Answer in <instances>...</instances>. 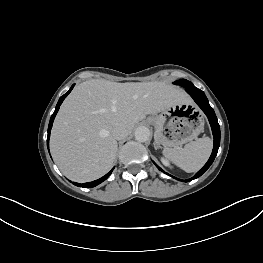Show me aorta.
I'll use <instances>...</instances> for the list:
<instances>
[{"instance_id":"762f6f07","label":"aorta","mask_w":263,"mask_h":263,"mask_svg":"<svg viewBox=\"0 0 263 263\" xmlns=\"http://www.w3.org/2000/svg\"><path fill=\"white\" fill-rule=\"evenodd\" d=\"M151 132L149 128L140 126L135 130V139L139 142H146L150 139Z\"/></svg>"}]
</instances>
